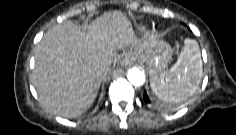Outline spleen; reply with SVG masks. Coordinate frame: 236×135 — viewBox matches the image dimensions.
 <instances>
[{
  "mask_svg": "<svg viewBox=\"0 0 236 135\" xmlns=\"http://www.w3.org/2000/svg\"><path fill=\"white\" fill-rule=\"evenodd\" d=\"M202 59L197 41L186 38L176 63L167 72L150 77L153 92L161 100L178 103L191 97L201 82Z\"/></svg>",
  "mask_w": 236,
  "mask_h": 135,
  "instance_id": "3e777b00",
  "label": "spleen"
}]
</instances>
